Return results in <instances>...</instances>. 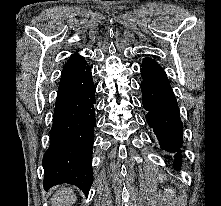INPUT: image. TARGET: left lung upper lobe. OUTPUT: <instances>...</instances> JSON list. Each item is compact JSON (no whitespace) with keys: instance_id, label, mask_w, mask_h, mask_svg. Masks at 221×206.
<instances>
[{"instance_id":"left-lung-upper-lobe-1","label":"left lung upper lobe","mask_w":221,"mask_h":206,"mask_svg":"<svg viewBox=\"0 0 221 206\" xmlns=\"http://www.w3.org/2000/svg\"><path fill=\"white\" fill-rule=\"evenodd\" d=\"M142 68L153 69V70H163V68L156 61L150 58L143 59Z\"/></svg>"}]
</instances>
